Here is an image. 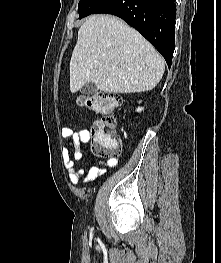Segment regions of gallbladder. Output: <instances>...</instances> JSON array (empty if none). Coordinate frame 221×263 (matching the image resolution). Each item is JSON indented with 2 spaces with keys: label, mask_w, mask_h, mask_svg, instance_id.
<instances>
[{
  "label": "gallbladder",
  "mask_w": 221,
  "mask_h": 263,
  "mask_svg": "<svg viewBox=\"0 0 221 263\" xmlns=\"http://www.w3.org/2000/svg\"><path fill=\"white\" fill-rule=\"evenodd\" d=\"M98 89L94 83H86L81 89L80 92L83 95H93L97 93Z\"/></svg>",
  "instance_id": "obj_1"
}]
</instances>
